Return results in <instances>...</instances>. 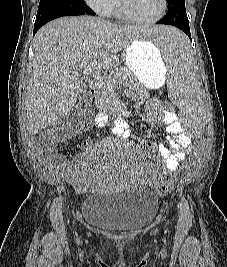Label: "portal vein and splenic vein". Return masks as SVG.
Listing matches in <instances>:
<instances>
[{
    "instance_id": "portal-vein-and-splenic-vein-1",
    "label": "portal vein and splenic vein",
    "mask_w": 227,
    "mask_h": 267,
    "mask_svg": "<svg viewBox=\"0 0 227 267\" xmlns=\"http://www.w3.org/2000/svg\"><path fill=\"white\" fill-rule=\"evenodd\" d=\"M83 74L88 77H93L95 80H101L103 77L100 71L97 70L95 62H92L90 65L85 67L83 70L77 71L76 75Z\"/></svg>"
}]
</instances>
